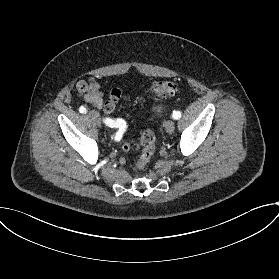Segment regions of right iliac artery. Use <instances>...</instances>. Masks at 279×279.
Here are the masks:
<instances>
[{"label":"right iliac artery","instance_id":"82829eb1","mask_svg":"<svg viewBox=\"0 0 279 279\" xmlns=\"http://www.w3.org/2000/svg\"><path fill=\"white\" fill-rule=\"evenodd\" d=\"M80 113H85L86 112V108L81 106L80 109H79ZM122 118L118 121V120H112L110 118H106L104 120V123L108 126H110L111 128L113 127H118L119 129H123L124 128V123L122 122Z\"/></svg>","mask_w":279,"mask_h":279}]
</instances>
